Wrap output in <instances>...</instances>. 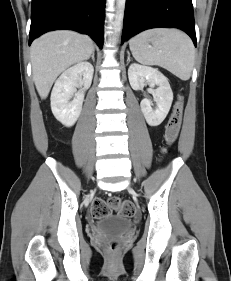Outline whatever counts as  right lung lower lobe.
<instances>
[{
  "mask_svg": "<svg viewBox=\"0 0 231 281\" xmlns=\"http://www.w3.org/2000/svg\"><path fill=\"white\" fill-rule=\"evenodd\" d=\"M105 0H32L29 45L53 30H74L103 44Z\"/></svg>",
  "mask_w": 231,
  "mask_h": 281,
  "instance_id": "right-lung-lower-lobe-1",
  "label": "right lung lower lobe"
}]
</instances>
